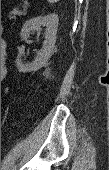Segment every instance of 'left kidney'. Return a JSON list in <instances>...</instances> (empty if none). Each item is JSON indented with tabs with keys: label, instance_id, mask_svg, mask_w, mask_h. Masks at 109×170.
<instances>
[{
	"label": "left kidney",
	"instance_id": "1",
	"mask_svg": "<svg viewBox=\"0 0 109 170\" xmlns=\"http://www.w3.org/2000/svg\"><path fill=\"white\" fill-rule=\"evenodd\" d=\"M58 22V15L53 13L45 16L33 17L24 23L20 33L23 39L28 38L32 31H38L41 26L46 27V31L43 47L37 53L32 63L24 64L20 59L21 55L19 54L17 56L16 66L20 72L36 71L47 64L54 51Z\"/></svg>",
	"mask_w": 109,
	"mask_h": 170
}]
</instances>
